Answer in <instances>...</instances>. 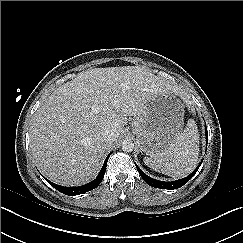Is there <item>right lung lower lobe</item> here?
Instances as JSON below:
<instances>
[{"mask_svg": "<svg viewBox=\"0 0 243 243\" xmlns=\"http://www.w3.org/2000/svg\"><path fill=\"white\" fill-rule=\"evenodd\" d=\"M110 155H111V153L106 157L104 164H103V167H102L101 171L99 172V175L96 177V179L91 181L88 184L78 186V187H64V186H60V185H57L55 183H52L47 179H46V181L50 185H52L55 189H57L59 192L66 194V195H69V196L79 195V194H83L85 192L91 191V190L95 189L103 180L105 170H106V166H107V161H108V158H109Z\"/></svg>", "mask_w": 243, "mask_h": 243, "instance_id": "obj_1", "label": "right lung lower lobe"}]
</instances>
